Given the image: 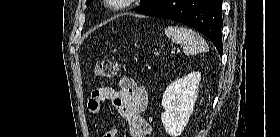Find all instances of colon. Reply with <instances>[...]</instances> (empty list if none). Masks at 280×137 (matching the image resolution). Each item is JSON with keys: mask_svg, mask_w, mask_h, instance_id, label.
Listing matches in <instances>:
<instances>
[{"mask_svg": "<svg viewBox=\"0 0 280 137\" xmlns=\"http://www.w3.org/2000/svg\"><path fill=\"white\" fill-rule=\"evenodd\" d=\"M120 70V64L116 60H104L98 63L94 69V78L100 79H110L118 74ZM114 133H106L105 137H114Z\"/></svg>", "mask_w": 280, "mask_h": 137, "instance_id": "5ec220e1", "label": "colon"}]
</instances>
